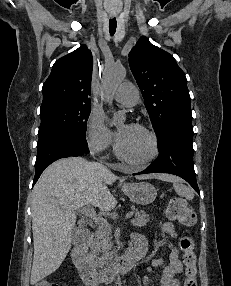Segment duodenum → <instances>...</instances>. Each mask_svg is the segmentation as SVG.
Returning a JSON list of instances; mask_svg holds the SVG:
<instances>
[{"mask_svg":"<svg viewBox=\"0 0 231 286\" xmlns=\"http://www.w3.org/2000/svg\"><path fill=\"white\" fill-rule=\"evenodd\" d=\"M90 238L89 232H83L72 251L74 265L77 267L84 283L90 286L109 283L119 275L129 272L146 251V243L138 240L133 248L127 250L117 260L107 267L97 270L89 264L86 258Z\"/></svg>","mask_w":231,"mask_h":286,"instance_id":"duodenum-1","label":"duodenum"}]
</instances>
